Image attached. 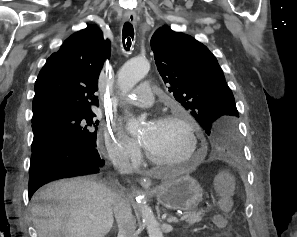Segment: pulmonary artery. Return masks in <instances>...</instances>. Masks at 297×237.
Returning <instances> with one entry per match:
<instances>
[{"label":"pulmonary artery","mask_w":297,"mask_h":237,"mask_svg":"<svg viewBox=\"0 0 297 237\" xmlns=\"http://www.w3.org/2000/svg\"><path fill=\"white\" fill-rule=\"evenodd\" d=\"M123 77H127L126 69L122 72ZM154 90L150 83H141L127 98V102L136 106H148L154 99Z\"/></svg>","instance_id":"obj_1"}]
</instances>
